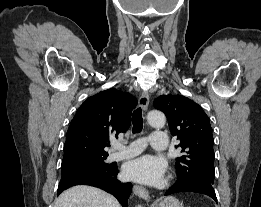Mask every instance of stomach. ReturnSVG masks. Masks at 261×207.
<instances>
[{"mask_svg":"<svg viewBox=\"0 0 261 207\" xmlns=\"http://www.w3.org/2000/svg\"><path fill=\"white\" fill-rule=\"evenodd\" d=\"M151 207H182V204L177 198L169 196L156 201Z\"/></svg>","mask_w":261,"mask_h":207,"instance_id":"stomach-1","label":"stomach"}]
</instances>
